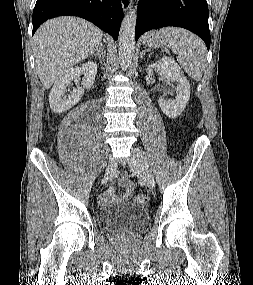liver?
I'll list each match as a JSON object with an SVG mask.
<instances>
[{
    "label": "liver",
    "instance_id": "6515ba94",
    "mask_svg": "<svg viewBox=\"0 0 253 285\" xmlns=\"http://www.w3.org/2000/svg\"><path fill=\"white\" fill-rule=\"evenodd\" d=\"M102 37L98 27L77 17H58L41 25L34 36V55L43 86L49 89L63 72L95 52Z\"/></svg>",
    "mask_w": 253,
    "mask_h": 285
}]
</instances>
